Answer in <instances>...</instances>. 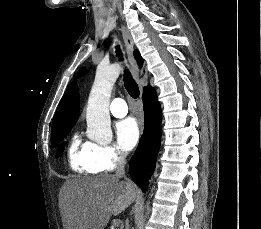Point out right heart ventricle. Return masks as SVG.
<instances>
[{
    "label": "right heart ventricle",
    "instance_id": "obj_1",
    "mask_svg": "<svg viewBox=\"0 0 261 229\" xmlns=\"http://www.w3.org/2000/svg\"><path fill=\"white\" fill-rule=\"evenodd\" d=\"M94 149L95 143L72 138L68 149L70 167L77 172L95 173L92 163Z\"/></svg>",
    "mask_w": 261,
    "mask_h": 229
}]
</instances>
